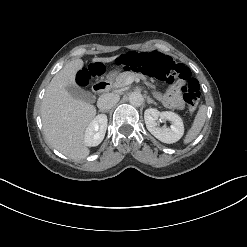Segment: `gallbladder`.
I'll list each match as a JSON object with an SVG mask.
<instances>
[{"label": "gallbladder", "instance_id": "bac80fb5", "mask_svg": "<svg viewBox=\"0 0 247 247\" xmlns=\"http://www.w3.org/2000/svg\"><path fill=\"white\" fill-rule=\"evenodd\" d=\"M67 91L75 99L85 102H92L94 100V96L91 92L85 91L77 86H69L67 87Z\"/></svg>", "mask_w": 247, "mask_h": 247}]
</instances>
